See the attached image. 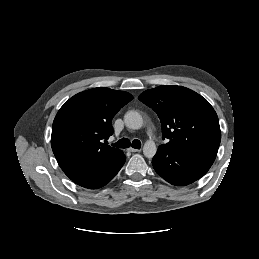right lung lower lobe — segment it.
<instances>
[{"label":"right lung lower lobe","instance_id":"1","mask_svg":"<svg viewBox=\"0 0 259 259\" xmlns=\"http://www.w3.org/2000/svg\"><path fill=\"white\" fill-rule=\"evenodd\" d=\"M126 156L119 152L114 157L107 159L94 167L81 171H70L65 174L76 184L88 188L98 189L108 182L119 172L125 163Z\"/></svg>","mask_w":259,"mask_h":259}]
</instances>
